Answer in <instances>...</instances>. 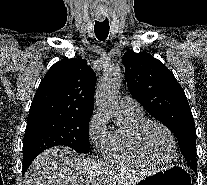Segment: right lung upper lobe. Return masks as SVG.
Instances as JSON below:
<instances>
[{
    "label": "right lung upper lobe",
    "instance_id": "right-lung-upper-lobe-1",
    "mask_svg": "<svg viewBox=\"0 0 207 185\" xmlns=\"http://www.w3.org/2000/svg\"><path fill=\"white\" fill-rule=\"evenodd\" d=\"M96 74L81 58L59 61L40 82L29 114L89 118L94 109Z\"/></svg>",
    "mask_w": 207,
    "mask_h": 185
}]
</instances>
